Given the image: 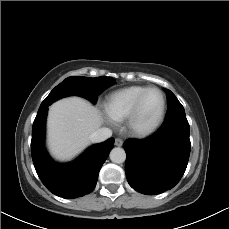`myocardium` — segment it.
<instances>
[{
	"mask_svg": "<svg viewBox=\"0 0 229 229\" xmlns=\"http://www.w3.org/2000/svg\"><path fill=\"white\" fill-rule=\"evenodd\" d=\"M156 91L161 97V108L157 117L148 125L141 126L139 124V113L143 99L145 96L151 92ZM166 111V100L163 92L156 87H149L144 92H142L133 104V107L127 117V129L128 131L136 137H146L154 133L162 124Z\"/></svg>",
	"mask_w": 229,
	"mask_h": 229,
	"instance_id": "obj_1",
	"label": "myocardium"
}]
</instances>
